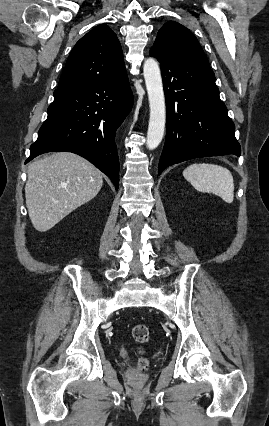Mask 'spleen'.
I'll use <instances>...</instances> for the list:
<instances>
[{"instance_id": "spleen-1", "label": "spleen", "mask_w": 269, "mask_h": 426, "mask_svg": "<svg viewBox=\"0 0 269 426\" xmlns=\"http://www.w3.org/2000/svg\"><path fill=\"white\" fill-rule=\"evenodd\" d=\"M183 176L200 192L213 193L229 204L234 200L233 176L224 167L208 163L193 164L183 171Z\"/></svg>"}]
</instances>
